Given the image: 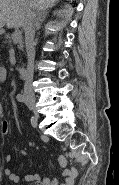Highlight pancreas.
<instances>
[{
  "label": "pancreas",
  "mask_w": 119,
  "mask_h": 185,
  "mask_svg": "<svg viewBox=\"0 0 119 185\" xmlns=\"http://www.w3.org/2000/svg\"><path fill=\"white\" fill-rule=\"evenodd\" d=\"M13 35V34H12ZM10 36V35H6V42L7 43H9V44H13V43H16V44H18V48L19 49H23V47H24V45H23V40H22V36H21V39L19 40V41H17V42H14L13 41V36Z\"/></svg>",
  "instance_id": "cf45deb5"
}]
</instances>
